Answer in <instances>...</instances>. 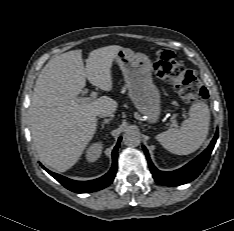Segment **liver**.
Here are the masks:
<instances>
[{"instance_id":"6515ba94","label":"liver","mask_w":234,"mask_h":231,"mask_svg":"<svg viewBox=\"0 0 234 231\" xmlns=\"http://www.w3.org/2000/svg\"><path fill=\"white\" fill-rule=\"evenodd\" d=\"M123 47L111 45L89 53L84 67L82 50L51 59L41 70L29 107L33 145L40 160L58 172L70 169L81 157L97 128V114L114 113L117 102L107 96L88 103L76 102L89 82L111 91L112 63Z\"/></svg>"}]
</instances>
